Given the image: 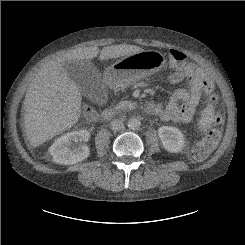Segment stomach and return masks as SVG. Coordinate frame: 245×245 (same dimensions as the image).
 Segmentation results:
<instances>
[{
	"instance_id": "0dacf381",
	"label": "stomach",
	"mask_w": 245,
	"mask_h": 245,
	"mask_svg": "<svg viewBox=\"0 0 245 245\" xmlns=\"http://www.w3.org/2000/svg\"><path fill=\"white\" fill-rule=\"evenodd\" d=\"M165 65L166 59L159 51L144 50L127 55L108 67L105 82L111 88L121 90L160 71Z\"/></svg>"
}]
</instances>
